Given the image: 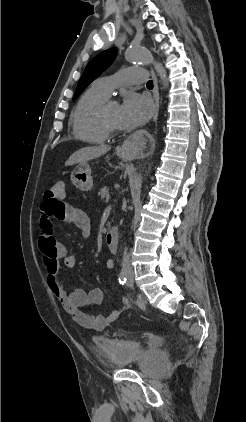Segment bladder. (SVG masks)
<instances>
[{"label":"bladder","instance_id":"1","mask_svg":"<svg viewBox=\"0 0 246 422\" xmlns=\"http://www.w3.org/2000/svg\"><path fill=\"white\" fill-rule=\"evenodd\" d=\"M97 348L103 357L119 366L137 364L142 355V345L135 339L104 338L97 343ZM152 363L163 368L168 363L165 351L159 347L150 350Z\"/></svg>","mask_w":246,"mask_h":422}]
</instances>
